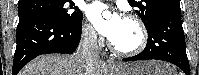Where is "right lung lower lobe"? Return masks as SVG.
Here are the masks:
<instances>
[{
  "label": "right lung lower lobe",
  "instance_id": "1",
  "mask_svg": "<svg viewBox=\"0 0 199 75\" xmlns=\"http://www.w3.org/2000/svg\"><path fill=\"white\" fill-rule=\"evenodd\" d=\"M81 25L82 18L73 26H64L38 15L19 18L12 75H17L30 60L39 55L72 54L80 42Z\"/></svg>",
  "mask_w": 199,
  "mask_h": 75
}]
</instances>
